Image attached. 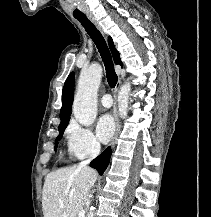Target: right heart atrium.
<instances>
[{"instance_id":"obj_1","label":"right heart atrium","mask_w":211,"mask_h":217,"mask_svg":"<svg viewBox=\"0 0 211 217\" xmlns=\"http://www.w3.org/2000/svg\"><path fill=\"white\" fill-rule=\"evenodd\" d=\"M69 153L77 159L94 157L99 154L101 146L89 127L72 121L66 129Z\"/></svg>"}]
</instances>
